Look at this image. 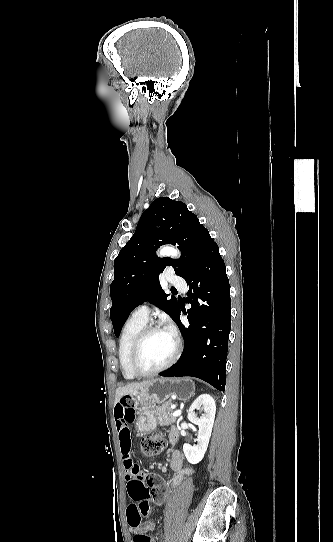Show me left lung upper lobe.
Wrapping results in <instances>:
<instances>
[{
  "label": "left lung upper lobe",
  "instance_id": "left-lung-upper-lobe-1",
  "mask_svg": "<svg viewBox=\"0 0 333 542\" xmlns=\"http://www.w3.org/2000/svg\"><path fill=\"white\" fill-rule=\"evenodd\" d=\"M210 239L208 230L183 202L160 197L151 203L134 235L114 260L110 317L116 337L131 311L145 301L165 311L174 321L177 319L179 302L173 296L167 298L159 274L172 266L185 279L198 266ZM169 243L178 245L179 259L156 256L155 251Z\"/></svg>",
  "mask_w": 333,
  "mask_h": 542
}]
</instances>
